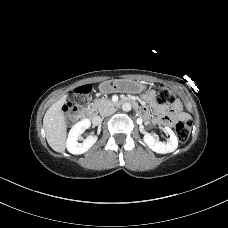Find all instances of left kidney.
I'll return each mask as SVG.
<instances>
[{"label": "left kidney", "instance_id": "1", "mask_svg": "<svg viewBox=\"0 0 228 228\" xmlns=\"http://www.w3.org/2000/svg\"><path fill=\"white\" fill-rule=\"evenodd\" d=\"M165 132L170 135L167 143L158 141L153 135L147 133L144 135L143 140L147 146L156 153L166 154L173 152L178 147V138L175 133L169 127H164Z\"/></svg>", "mask_w": 228, "mask_h": 228}]
</instances>
